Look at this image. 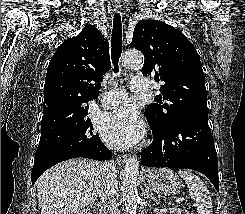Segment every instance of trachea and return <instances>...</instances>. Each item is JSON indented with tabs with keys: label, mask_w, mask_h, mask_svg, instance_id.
Wrapping results in <instances>:
<instances>
[{
	"label": "trachea",
	"mask_w": 245,
	"mask_h": 214,
	"mask_svg": "<svg viewBox=\"0 0 245 214\" xmlns=\"http://www.w3.org/2000/svg\"><path fill=\"white\" fill-rule=\"evenodd\" d=\"M111 47V59L114 66V72L118 73V63L122 52V23L121 17L118 13L114 15L113 19Z\"/></svg>",
	"instance_id": "3493384b"
}]
</instances>
